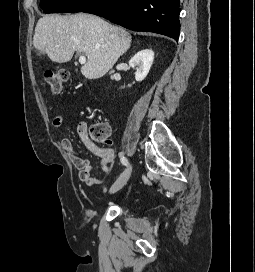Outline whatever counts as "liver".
Returning a JSON list of instances; mask_svg holds the SVG:
<instances>
[{
    "mask_svg": "<svg viewBox=\"0 0 255 272\" xmlns=\"http://www.w3.org/2000/svg\"><path fill=\"white\" fill-rule=\"evenodd\" d=\"M132 37L122 27L85 13L46 15L39 19L33 46L57 63L71 60L75 51L87 56L81 68L87 79L104 76L131 46Z\"/></svg>",
    "mask_w": 255,
    "mask_h": 272,
    "instance_id": "6515ba94",
    "label": "liver"
}]
</instances>
